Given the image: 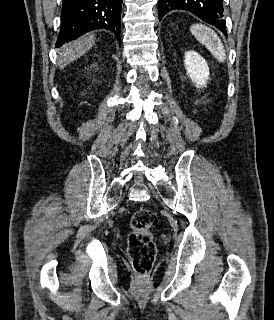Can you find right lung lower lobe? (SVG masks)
Masks as SVG:
<instances>
[{
  "label": "right lung lower lobe",
  "instance_id": "1",
  "mask_svg": "<svg viewBox=\"0 0 274 320\" xmlns=\"http://www.w3.org/2000/svg\"><path fill=\"white\" fill-rule=\"evenodd\" d=\"M121 5L122 0H63L56 47L101 28L114 32L120 41Z\"/></svg>",
  "mask_w": 274,
  "mask_h": 320
}]
</instances>
